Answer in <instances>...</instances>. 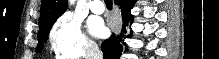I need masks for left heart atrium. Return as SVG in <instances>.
<instances>
[{"mask_svg": "<svg viewBox=\"0 0 219 59\" xmlns=\"http://www.w3.org/2000/svg\"><path fill=\"white\" fill-rule=\"evenodd\" d=\"M87 25L89 32L95 37H103L107 32V29L104 26L103 21L99 18H95V17L90 18L88 20Z\"/></svg>", "mask_w": 219, "mask_h": 59, "instance_id": "1", "label": "left heart atrium"}]
</instances>
